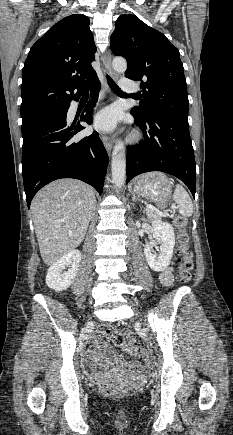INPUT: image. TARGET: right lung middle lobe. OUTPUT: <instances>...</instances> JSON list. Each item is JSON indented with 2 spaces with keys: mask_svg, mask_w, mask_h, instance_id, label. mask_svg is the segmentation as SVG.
<instances>
[{
  "mask_svg": "<svg viewBox=\"0 0 233 435\" xmlns=\"http://www.w3.org/2000/svg\"><path fill=\"white\" fill-rule=\"evenodd\" d=\"M68 106L50 108L33 114L22 116V126H26L50 115L62 114L67 111Z\"/></svg>",
  "mask_w": 233,
  "mask_h": 435,
  "instance_id": "obj_1",
  "label": "right lung middle lobe"
}]
</instances>
